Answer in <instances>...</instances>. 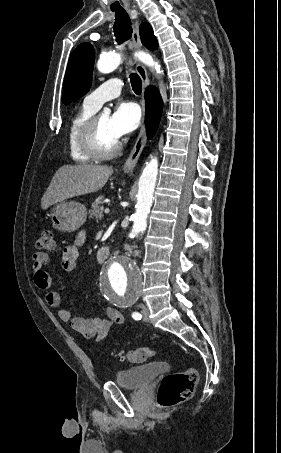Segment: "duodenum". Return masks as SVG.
<instances>
[{
  "label": "duodenum",
  "mask_w": 281,
  "mask_h": 453,
  "mask_svg": "<svg viewBox=\"0 0 281 453\" xmlns=\"http://www.w3.org/2000/svg\"><path fill=\"white\" fill-rule=\"evenodd\" d=\"M110 251L106 246L100 247L96 253V259L99 263H103L109 257Z\"/></svg>",
  "instance_id": "410a0bca"
}]
</instances>
